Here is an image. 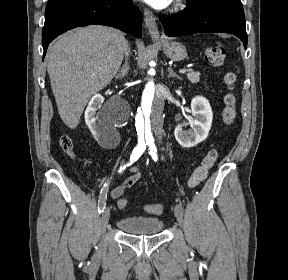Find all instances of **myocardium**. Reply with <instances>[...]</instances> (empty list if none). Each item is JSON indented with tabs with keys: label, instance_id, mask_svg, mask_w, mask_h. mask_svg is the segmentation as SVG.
I'll return each mask as SVG.
<instances>
[{
	"label": "myocardium",
	"instance_id": "1",
	"mask_svg": "<svg viewBox=\"0 0 288 280\" xmlns=\"http://www.w3.org/2000/svg\"><path fill=\"white\" fill-rule=\"evenodd\" d=\"M186 0H174L173 9L178 10L181 9L185 5Z\"/></svg>",
	"mask_w": 288,
	"mask_h": 280
}]
</instances>
